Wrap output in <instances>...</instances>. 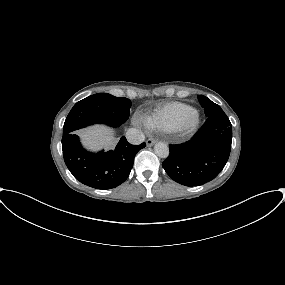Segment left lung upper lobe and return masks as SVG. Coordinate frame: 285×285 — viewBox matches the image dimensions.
Listing matches in <instances>:
<instances>
[{
    "label": "left lung upper lobe",
    "instance_id": "1",
    "mask_svg": "<svg viewBox=\"0 0 285 285\" xmlns=\"http://www.w3.org/2000/svg\"><path fill=\"white\" fill-rule=\"evenodd\" d=\"M198 100H199L201 106L204 108L205 115L207 117L214 115V114L224 113V111L221 109V107L219 105L212 102L206 96L200 95V96H198Z\"/></svg>",
    "mask_w": 285,
    "mask_h": 285
}]
</instances>
